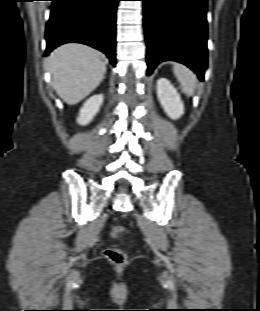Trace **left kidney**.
<instances>
[{
  "label": "left kidney",
  "mask_w": 260,
  "mask_h": 311,
  "mask_svg": "<svg viewBox=\"0 0 260 311\" xmlns=\"http://www.w3.org/2000/svg\"><path fill=\"white\" fill-rule=\"evenodd\" d=\"M157 96L166 114L173 120L184 114V105L180 95L166 78L157 81Z\"/></svg>",
  "instance_id": "5707ae66"
}]
</instances>
